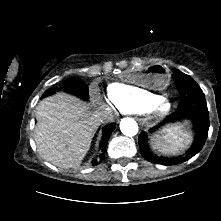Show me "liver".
<instances>
[{
	"label": "liver",
	"mask_w": 221,
	"mask_h": 221,
	"mask_svg": "<svg viewBox=\"0 0 221 221\" xmlns=\"http://www.w3.org/2000/svg\"><path fill=\"white\" fill-rule=\"evenodd\" d=\"M100 109L66 93L42 100L34 137L40 156L60 168L78 167L100 126Z\"/></svg>",
	"instance_id": "obj_1"
}]
</instances>
